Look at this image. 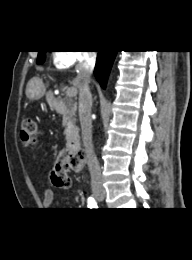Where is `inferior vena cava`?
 Wrapping results in <instances>:
<instances>
[{"label":"inferior vena cava","mask_w":192,"mask_h":260,"mask_svg":"<svg viewBox=\"0 0 192 260\" xmlns=\"http://www.w3.org/2000/svg\"><path fill=\"white\" fill-rule=\"evenodd\" d=\"M96 62V53L94 51H88L84 54L83 60L77 65L78 73V88H79V118L82 128L83 141L90 145L91 152V138H92V94L89 89L90 77L93 73ZM89 170L91 175L92 188H102L101 170L99 161L96 155H92Z\"/></svg>","instance_id":"1"}]
</instances>
